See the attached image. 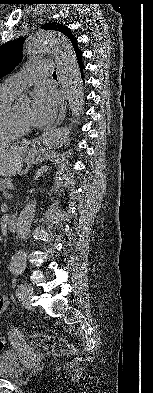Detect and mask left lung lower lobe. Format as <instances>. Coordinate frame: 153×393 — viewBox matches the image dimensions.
Masks as SVG:
<instances>
[{
    "instance_id": "1",
    "label": "left lung lower lobe",
    "mask_w": 153,
    "mask_h": 393,
    "mask_svg": "<svg viewBox=\"0 0 153 393\" xmlns=\"http://www.w3.org/2000/svg\"><path fill=\"white\" fill-rule=\"evenodd\" d=\"M76 57H77V62H78V64H79V67H80V71H81V76H82V78H83V68H84V65H83V62H82V60H81V57H82V55H81V52L79 51V52H76Z\"/></svg>"
}]
</instances>
